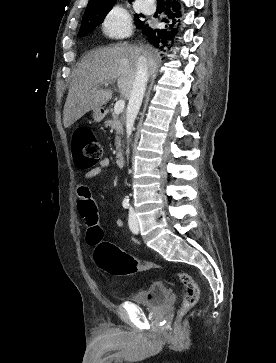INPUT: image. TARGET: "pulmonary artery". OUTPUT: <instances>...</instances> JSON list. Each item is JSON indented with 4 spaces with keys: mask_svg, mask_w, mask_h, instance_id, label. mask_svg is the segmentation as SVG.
<instances>
[{
    "mask_svg": "<svg viewBox=\"0 0 276 363\" xmlns=\"http://www.w3.org/2000/svg\"><path fill=\"white\" fill-rule=\"evenodd\" d=\"M149 2H152V0H144L143 1V12L146 14H151L153 13L154 9L149 7Z\"/></svg>",
    "mask_w": 276,
    "mask_h": 363,
    "instance_id": "1",
    "label": "pulmonary artery"
}]
</instances>
